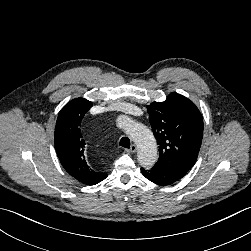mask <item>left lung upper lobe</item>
Here are the masks:
<instances>
[{
  "label": "left lung upper lobe",
  "mask_w": 251,
  "mask_h": 251,
  "mask_svg": "<svg viewBox=\"0 0 251 251\" xmlns=\"http://www.w3.org/2000/svg\"><path fill=\"white\" fill-rule=\"evenodd\" d=\"M154 136L159 144L155 166L187 173L195 164L203 137V118L188 98L171 93L164 102L147 106Z\"/></svg>",
  "instance_id": "obj_1"
}]
</instances>
